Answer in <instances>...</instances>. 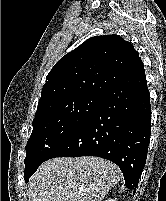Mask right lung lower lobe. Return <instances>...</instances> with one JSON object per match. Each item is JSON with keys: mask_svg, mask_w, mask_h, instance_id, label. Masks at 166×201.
Wrapping results in <instances>:
<instances>
[{"mask_svg": "<svg viewBox=\"0 0 166 201\" xmlns=\"http://www.w3.org/2000/svg\"><path fill=\"white\" fill-rule=\"evenodd\" d=\"M151 133L149 90L142 61L109 89L95 110L49 155L98 156L121 169L135 194ZM47 159V160H48Z\"/></svg>", "mask_w": 166, "mask_h": 201, "instance_id": "1", "label": "right lung lower lobe"}]
</instances>
